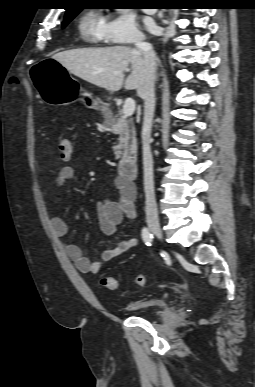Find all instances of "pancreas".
I'll return each mask as SVG.
<instances>
[{
  "mask_svg": "<svg viewBox=\"0 0 255 387\" xmlns=\"http://www.w3.org/2000/svg\"><path fill=\"white\" fill-rule=\"evenodd\" d=\"M104 125L110 127L111 131L118 134V141L113 147L115 158L125 155L136 154L137 140L134 122L127 119L121 113L115 116H105Z\"/></svg>",
  "mask_w": 255,
  "mask_h": 387,
  "instance_id": "1",
  "label": "pancreas"
}]
</instances>
